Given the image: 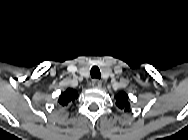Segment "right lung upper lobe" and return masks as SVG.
Masks as SVG:
<instances>
[{
	"label": "right lung upper lobe",
	"mask_w": 188,
	"mask_h": 140,
	"mask_svg": "<svg viewBox=\"0 0 188 140\" xmlns=\"http://www.w3.org/2000/svg\"><path fill=\"white\" fill-rule=\"evenodd\" d=\"M77 98H78L77 91L69 88L60 95L58 99V103L61 106H66L69 103L74 102V100Z\"/></svg>",
	"instance_id": "1"
}]
</instances>
